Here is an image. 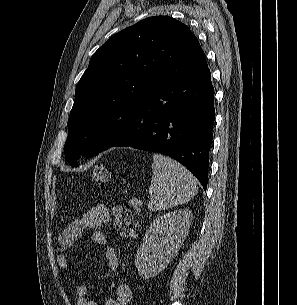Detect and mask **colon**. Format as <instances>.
<instances>
[{"label":"colon","instance_id":"obj_1","mask_svg":"<svg viewBox=\"0 0 297 305\" xmlns=\"http://www.w3.org/2000/svg\"><path fill=\"white\" fill-rule=\"evenodd\" d=\"M93 180L96 183H107L110 180V174L104 163H98L92 172ZM115 229L125 238L134 239L137 231V224L133 220L129 210L119 205H113L111 208Z\"/></svg>","mask_w":297,"mask_h":305}]
</instances>
